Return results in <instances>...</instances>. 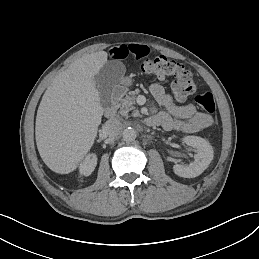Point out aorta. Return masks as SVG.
I'll return each instance as SVG.
<instances>
[{"instance_id":"762f6f07","label":"aorta","mask_w":259,"mask_h":259,"mask_svg":"<svg viewBox=\"0 0 259 259\" xmlns=\"http://www.w3.org/2000/svg\"><path fill=\"white\" fill-rule=\"evenodd\" d=\"M123 139L126 142H133L137 137V132L134 128L128 127L123 130Z\"/></svg>"}]
</instances>
